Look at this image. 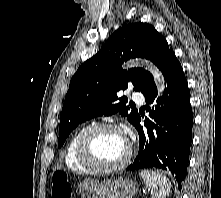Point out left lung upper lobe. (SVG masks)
<instances>
[{"mask_svg":"<svg viewBox=\"0 0 221 198\" xmlns=\"http://www.w3.org/2000/svg\"><path fill=\"white\" fill-rule=\"evenodd\" d=\"M172 53L165 38L147 23H130L115 31L70 81L60 117L58 147L76 126L97 116L119 112L134 125L138 112H128L127 99L118 98L117 92L126 89L129 83L134 85L133 90L143 92L154 80L150 72L142 68L123 70L122 63L142 57L162 71ZM117 100L120 102L116 103Z\"/></svg>","mask_w":221,"mask_h":198,"instance_id":"left-lung-upper-lobe-1","label":"left lung upper lobe"}]
</instances>
